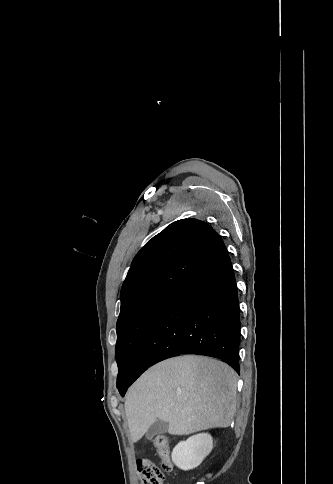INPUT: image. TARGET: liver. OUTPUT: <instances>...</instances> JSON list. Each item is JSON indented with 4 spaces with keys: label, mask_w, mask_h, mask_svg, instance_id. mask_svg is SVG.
Returning <instances> with one entry per match:
<instances>
[{
    "label": "liver",
    "mask_w": 333,
    "mask_h": 484,
    "mask_svg": "<svg viewBox=\"0 0 333 484\" xmlns=\"http://www.w3.org/2000/svg\"><path fill=\"white\" fill-rule=\"evenodd\" d=\"M237 379L227 364L186 355L162 361L129 388L125 412L133 442L156 421L172 435L229 427L236 411Z\"/></svg>",
    "instance_id": "1"
}]
</instances>
